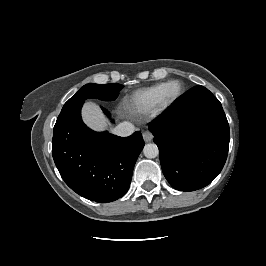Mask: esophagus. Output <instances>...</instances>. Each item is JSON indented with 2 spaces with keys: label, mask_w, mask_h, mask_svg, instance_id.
I'll use <instances>...</instances> for the list:
<instances>
[{
  "label": "esophagus",
  "mask_w": 266,
  "mask_h": 266,
  "mask_svg": "<svg viewBox=\"0 0 266 266\" xmlns=\"http://www.w3.org/2000/svg\"><path fill=\"white\" fill-rule=\"evenodd\" d=\"M143 139L145 142H151L153 140V135L149 131L143 132Z\"/></svg>",
  "instance_id": "34e87169"
}]
</instances>
